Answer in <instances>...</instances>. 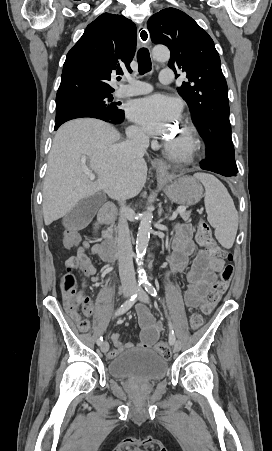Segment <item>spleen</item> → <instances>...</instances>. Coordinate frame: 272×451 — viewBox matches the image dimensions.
Returning <instances> with one entry per match:
<instances>
[{"mask_svg": "<svg viewBox=\"0 0 272 451\" xmlns=\"http://www.w3.org/2000/svg\"><path fill=\"white\" fill-rule=\"evenodd\" d=\"M205 188V208L207 220L214 227L216 239L230 249L234 243L238 229V212L227 188L211 174H194Z\"/></svg>", "mask_w": 272, "mask_h": 451, "instance_id": "1", "label": "spleen"}]
</instances>
